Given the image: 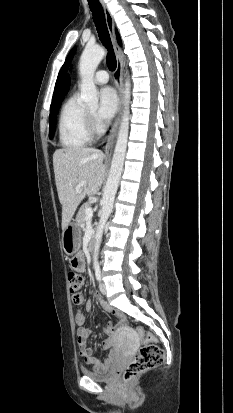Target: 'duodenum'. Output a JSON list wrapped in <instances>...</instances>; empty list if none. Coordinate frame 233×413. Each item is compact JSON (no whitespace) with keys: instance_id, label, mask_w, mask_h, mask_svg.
Returning <instances> with one entry per match:
<instances>
[{"instance_id":"1","label":"duodenum","mask_w":233,"mask_h":413,"mask_svg":"<svg viewBox=\"0 0 233 413\" xmlns=\"http://www.w3.org/2000/svg\"><path fill=\"white\" fill-rule=\"evenodd\" d=\"M94 244H95V239H94V237L92 236V237L89 239V241H88V249H89V250H92L93 247H94Z\"/></svg>"}]
</instances>
